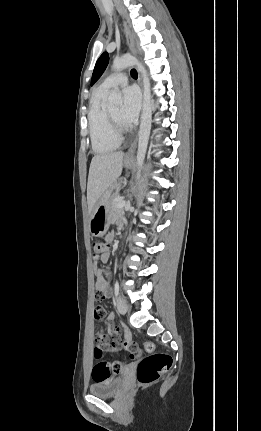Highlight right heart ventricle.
<instances>
[{
    "label": "right heart ventricle",
    "instance_id": "right-heart-ventricle-1",
    "mask_svg": "<svg viewBox=\"0 0 261 431\" xmlns=\"http://www.w3.org/2000/svg\"><path fill=\"white\" fill-rule=\"evenodd\" d=\"M105 90L98 88L91 100L88 123L91 146L97 154H108L115 151L120 145L108 121L107 111L102 105Z\"/></svg>",
    "mask_w": 261,
    "mask_h": 431
}]
</instances>
